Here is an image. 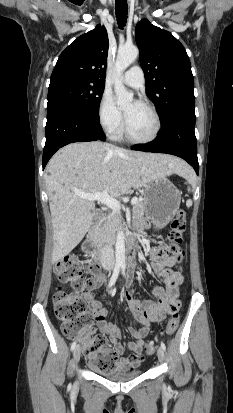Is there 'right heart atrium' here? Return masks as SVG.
Masks as SVG:
<instances>
[{
  "label": "right heart atrium",
  "mask_w": 233,
  "mask_h": 413,
  "mask_svg": "<svg viewBox=\"0 0 233 413\" xmlns=\"http://www.w3.org/2000/svg\"><path fill=\"white\" fill-rule=\"evenodd\" d=\"M97 117L100 126L110 136L116 137L122 132L123 115L109 93L102 94L97 106Z\"/></svg>",
  "instance_id": "d8ad5b80"
}]
</instances>
